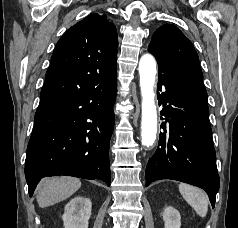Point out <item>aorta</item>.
Here are the masks:
<instances>
[{"instance_id": "762f6f07", "label": "aorta", "mask_w": 238, "mask_h": 228, "mask_svg": "<svg viewBox=\"0 0 238 228\" xmlns=\"http://www.w3.org/2000/svg\"><path fill=\"white\" fill-rule=\"evenodd\" d=\"M140 89L142 97L141 143L151 146L157 134V109L155 105L156 60L145 54L139 61Z\"/></svg>"}]
</instances>
